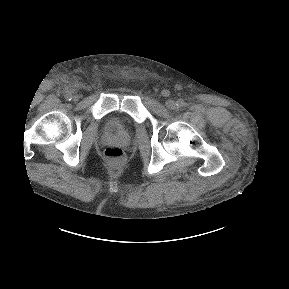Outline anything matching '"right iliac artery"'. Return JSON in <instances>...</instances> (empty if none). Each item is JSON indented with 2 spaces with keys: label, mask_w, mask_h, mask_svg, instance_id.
<instances>
[{
  "label": "right iliac artery",
  "mask_w": 289,
  "mask_h": 289,
  "mask_svg": "<svg viewBox=\"0 0 289 289\" xmlns=\"http://www.w3.org/2000/svg\"><path fill=\"white\" fill-rule=\"evenodd\" d=\"M65 99L68 100V101H70V100L72 99V94H71V93H67V94L65 95Z\"/></svg>",
  "instance_id": "1"
}]
</instances>
